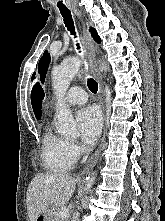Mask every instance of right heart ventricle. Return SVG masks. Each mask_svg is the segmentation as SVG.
<instances>
[{"label":"right heart ventricle","instance_id":"obj_1","mask_svg":"<svg viewBox=\"0 0 165 221\" xmlns=\"http://www.w3.org/2000/svg\"><path fill=\"white\" fill-rule=\"evenodd\" d=\"M40 155L44 169L51 172L71 170L77 159L70 150L69 141L51 127L43 134Z\"/></svg>","mask_w":165,"mask_h":221}]
</instances>
